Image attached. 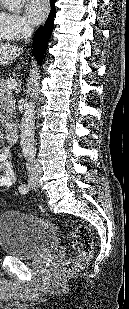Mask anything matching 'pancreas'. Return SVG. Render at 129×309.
Instances as JSON below:
<instances>
[{"label":"pancreas","mask_w":129,"mask_h":309,"mask_svg":"<svg viewBox=\"0 0 129 309\" xmlns=\"http://www.w3.org/2000/svg\"><path fill=\"white\" fill-rule=\"evenodd\" d=\"M6 80L0 79V101L3 99V95L11 94L12 90L7 89L5 85ZM12 109H4L2 105H0V121L3 126H7L8 123L12 120Z\"/></svg>","instance_id":"pancreas-1"}]
</instances>
